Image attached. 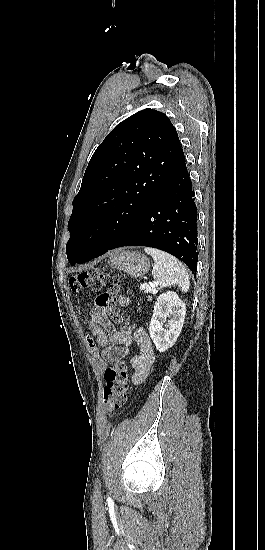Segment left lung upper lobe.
<instances>
[{
	"mask_svg": "<svg viewBox=\"0 0 265 550\" xmlns=\"http://www.w3.org/2000/svg\"><path fill=\"white\" fill-rule=\"evenodd\" d=\"M185 159L175 127L144 109L119 123L94 152L73 200L68 261L109 248L139 217Z\"/></svg>",
	"mask_w": 265,
	"mask_h": 550,
	"instance_id": "obj_1",
	"label": "left lung upper lobe"
}]
</instances>
